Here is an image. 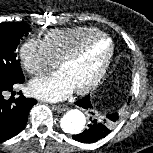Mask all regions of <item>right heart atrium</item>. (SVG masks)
Returning <instances> with one entry per match:
<instances>
[{
    "mask_svg": "<svg viewBox=\"0 0 153 153\" xmlns=\"http://www.w3.org/2000/svg\"><path fill=\"white\" fill-rule=\"evenodd\" d=\"M20 59L24 69L32 76H40L56 66L43 40L28 38L20 48Z\"/></svg>",
    "mask_w": 153,
    "mask_h": 153,
    "instance_id": "obj_1",
    "label": "right heart atrium"
}]
</instances>
